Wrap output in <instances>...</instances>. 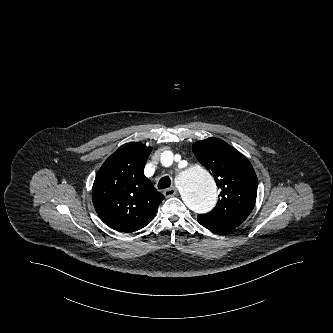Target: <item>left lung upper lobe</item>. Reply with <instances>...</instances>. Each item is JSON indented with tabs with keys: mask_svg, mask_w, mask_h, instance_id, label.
Listing matches in <instances>:
<instances>
[{
	"mask_svg": "<svg viewBox=\"0 0 333 333\" xmlns=\"http://www.w3.org/2000/svg\"><path fill=\"white\" fill-rule=\"evenodd\" d=\"M199 162L214 175L220 198L214 210L200 214L198 222L214 232H225L240 225L251 213L257 195V176L248 159L218 138L193 144Z\"/></svg>",
	"mask_w": 333,
	"mask_h": 333,
	"instance_id": "5c2ea615",
	"label": "left lung upper lobe"
}]
</instances>
